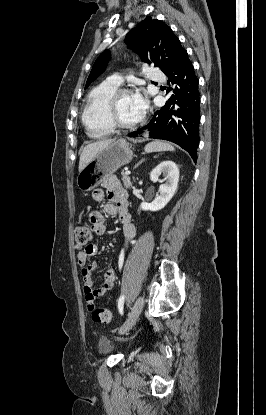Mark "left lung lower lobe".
I'll return each instance as SVG.
<instances>
[{
    "mask_svg": "<svg viewBox=\"0 0 266 415\" xmlns=\"http://www.w3.org/2000/svg\"><path fill=\"white\" fill-rule=\"evenodd\" d=\"M168 83L173 85L174 94L166 104L153 115L144 129L150 131V138L171 141L186 150L193 161H197L200 124L199 80L186 53L177 67L167 74ZM168 89V90H170ZM128 134L136 137L138 133Z\"/></svg>",
    "mask_w": 266,
    "mask_h": 415,
    "instance_id": "1",
    "label": "left lung lower lobe"
}]
</instances>
